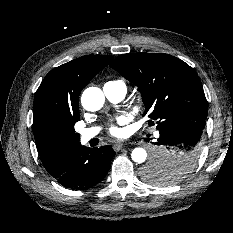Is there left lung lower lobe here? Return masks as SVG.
Returning <instances> with one entry per match:
<instances>
[{
  "label": "left lung lower lobe",
  "instance_id": "left-lung-lower-lobe-1",
  "mask_svg": "<svg viewBox=\"0 0 233 233\" xmlns=\"http://www.w3.org/2000/svg\"><path fill=\"white\" fill-rule=\"evenodd\" d=\"M204 127L205 123L177 122L158 129L160 137L154 143L158 150L153 161L171 167L181 159L197 161L201 153Z\"/></svg>",
  "mask_w": 233,
  "mask_h": 233
}]
</instances>
